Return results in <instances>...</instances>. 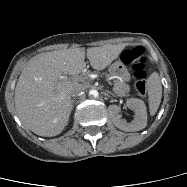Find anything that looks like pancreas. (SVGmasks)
<instances>
[{
    "instance_id": "pancreas-1",
    "label": "pancreas",
    "mask_w": 187,
    "mask_h": 187,
    "mask_svg": "<svg viewBox=\"0 0 187 187\" xmlns=\"http://www.w3.org/2000/svg\"><path fill=\"white\" fill-rule=\"evenodd\" d=\"M113 91L117 96L123 97L128 95L130 88L128 84L116 81L114 83Z\"/></svg>"
}]
</instances>
